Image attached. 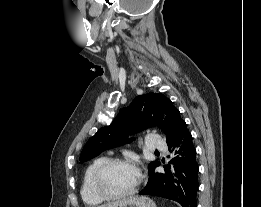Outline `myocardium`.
<instances>
[{
    "mask_svg": "<svg viewBox=\"0 0 261 207\" xmlns=\"http://www.w3.org/2000/svg\"><path fill=\"white\" fill-rule=\"evenodd\" d=\"M117 165H130L136 168L134 163L130 161L129 159L125 158H112L103 163L101 166L98 167L96 170L94 177H93V187L95 192L104 200H119L123 199L126 197H129L133 195L139 188L140 183H141V173L140 171L136 168L138 178L135 183V185L128 191L123 192V193H118L114 194L109 192L105 186H104V177L106 173L114 166Z\"/></svg>",
    "mask_w": 261,
    "mask_h": 207,
    "instance_id": "f54148a6",
    "label": "myocardium"
}]
</instances>
